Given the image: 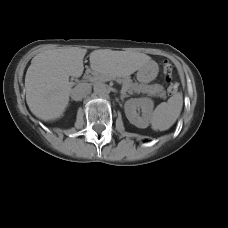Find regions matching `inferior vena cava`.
<instances>
[{"label": "inferior vena cava", "instance_id": "602c4592", "mask_svg": "<svg viewBox=\"0 0 228 228\" xmlns=\"http://www.w3.org/2000/svg\"><path fill=\"white\" fill-rule=\"evenodd\" d=\"M91 87L86 83L78 84L71 90V98L75 101H81L88 93H90Z\"/></svg>", "mask_w": 228, "mask_h": 228}]
</instances>
